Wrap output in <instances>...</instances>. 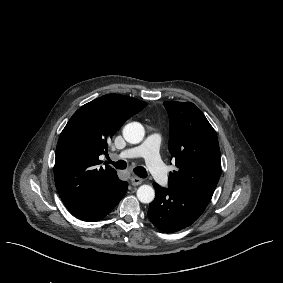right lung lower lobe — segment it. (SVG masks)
<instances>
[{
	"label": "right lung lower lobe",
	"mask_w": 283,
	"mask_h": 283,
	"mask_svg": "<svg viewBox=\"0 0 283 283\" xmlns=\"http://www.w3.org/2000/svg\"><path fill=\"white\" fill-rule=\"evenodd\" d=\"M127 189L128 183L125 181H120L115 190L103 196L98 202L80 209L71 210L70 212L75 217L84 221H98L112 211V209L124 197Z\"/></svg>",
	"instance_id": "right-lung-lower-lobe-1"
}]
</instances>
